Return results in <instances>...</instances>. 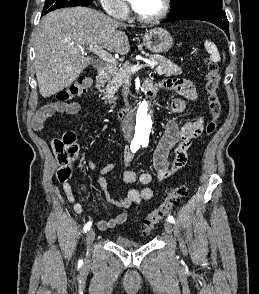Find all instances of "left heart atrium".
<instances>
[{"instance_id":"39dd6f15","label":"left heart atrium","mask_w":259,"mask_h":294,"mask_svg":"<svg viewBox=\"0 0 259 294\" xmlns=\"http://www.w3.org/2000/svg\"><path fill=\"white\" fill-rule=\"evenodd\" d=\"M131 1V3H132V5H133V7L137 4V2L139 1V0H130Z\"/></svg>"}]
</instances>
